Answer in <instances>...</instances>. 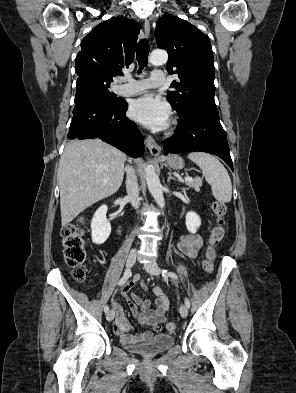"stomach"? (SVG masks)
Listing matches in <instances>:
<instances>
[{"mask_svg": "<svg viewBox=\"0 0 296 393\" xmlns=\"http://www.w3.org/2000/svg\"><path fill=\"white\" fill-rule=\"evenodd\" d=\"M165 164L167 167L176 170L184 168L185 165L183 158L178 155H170L166 157Z\"/></svg>", "mask_w": 296, "mask_h": 393, "instance_id": "0dacf381", "label": "stomach"}]
</instances>
